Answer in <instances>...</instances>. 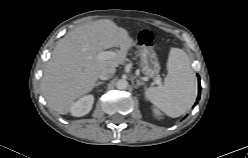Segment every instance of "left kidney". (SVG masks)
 Returning <instances> with one entry per match:
<instances>
[{"label": "left kidney", "mask_w": 248, "mask_h": 158, "mask_svg": "<svg viewBox=\"0 0 248 158\" xmlns=\"http://www.w3.org/2000/svg\"><path fill=\"white\" fill-rule=\"evenodd\" d=\"M153 112L155 113V115H158V116L160 115V112L155 108L153 109Z\"/></svg>", "instance_id": "5707ae66"}]
</instances>
